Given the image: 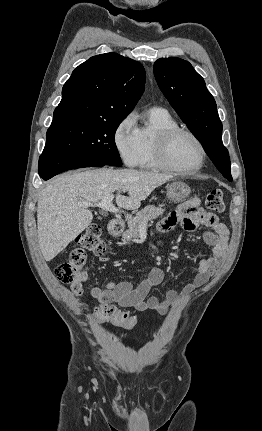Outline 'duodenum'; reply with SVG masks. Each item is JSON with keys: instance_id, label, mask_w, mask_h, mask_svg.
Segmentation results:
<instances>
[{"instance_id": "duodenum-1", "label": "duodenum", "mask_w": 262, "mask_h": 431, "mask_svg": "<svg viewBox=\"0 0 262 431\" xmlns=\"http://www.w3.org/2000/svg\"><path fill=\"white\" fill-rule=\"evenodd\" d=\"M123 229H124L123 221H121L119 219H114V220H111L109 222L108 231L110 234L117 235V234L121 233L123 231Z\"/></svg>"}]
</instances>
